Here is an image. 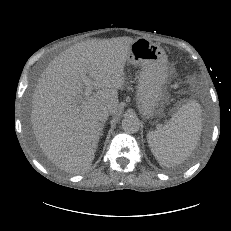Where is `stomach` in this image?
I'll list each match as a JSON object with an SVG mask.
<instances>
[{
  "mask_svg": "<svg viewBox=\"0 0 231 231\" xmlns=\"http://www.w3.org/2000/svg\"><path fill=\"white\" fill-rule=\"evenodd\" d=\"M127 63L141 67L136 90V103L146 118L158 114L167 93L169 71L163 48L149 39L139 37L131 46Z\"/></svg>",
  "mask_w": 231,
  "mask_h": 231,
  "instance_id": "stomach-1",
  "label": "stomach"
}]
</instances>
